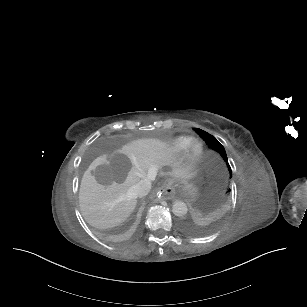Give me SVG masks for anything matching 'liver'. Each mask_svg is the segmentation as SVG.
<instances>
[{
    "instance_id": "1",
    "label": "liver",
    "mask_w": 307,
    "mask_h": 307,
    "mask_svg": "<svg viewBox=\"0 0 307 307\" xmlns=\"http://www.w3.org/2000/svg\"><path fill=\"white\" fill-rule=\"evenodd\" d=\"M99 158V159H98ZM84 172L79 189V204L85 221L107 229L124 222L136 207L132 187L149 172L172 166L176 178L192 174L173 163L169 145L155 138H141L104 151Z\"/></svg>"
}]
</instances>
